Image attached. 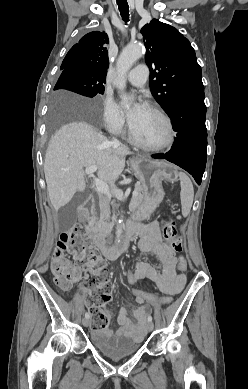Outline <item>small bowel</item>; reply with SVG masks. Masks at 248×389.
<instances>
[{
  "instance_id": "1",
  "label": "small bowel",
  "mask_w": 248,
  "mask_h": 389,
  "mask_svg": "<svg viewBox=\"0 0 248 389\" xmlns=\"http://www.w3.org/2000/svg\"><path fill=\"white\" fill-rule=\"evenodd\" d=\"M136 225L138 226L139 233L144 234L138 243L139 251L144 254L156 255L163 266L162 271H158L148 262L144 260L138 261L132 273L136 282L148 278L155 283L161 293L166 295L178 293L185 283V276L175 273L177 262L176 250L170 243L162 241L157 222ZM88 268L89 266L86 269ZM133 300L139 304V307L136 309L122 308L120 310L117 319L120 328L116 332L105 330L102 331L103 333L108 335L120 334L134 341H140L144 337L147 329V320L151 314V307L147 305L148 301H141V298H133Z\"/></svg>"
}]
</instances>
